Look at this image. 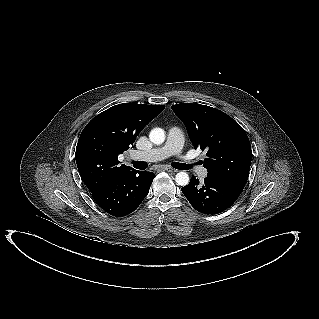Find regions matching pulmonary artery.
Returning a JSON list of instances; mask_svg holds the SVG:
<instances>
[{"instance_id": "1", "label": "pulmonary artery", "mask_w": 319, "mask_h": 319, "mask_svg": "<svg viewBox=\"0 0 319 319\" xmlns=\"http://www.w3.org/2000/svg\"><path fill=\"white\" fill-rule=\"evenodd\" d=\"M183 143L182 131L178 127H172L168 132L167 141L162 147L141 151L137 155L146 161H158L175 155L179 157L180 163L195 168L201 177H206L207 170L202 166H197L194 160L182 153Z\"/></svg>"}]
</instances>
